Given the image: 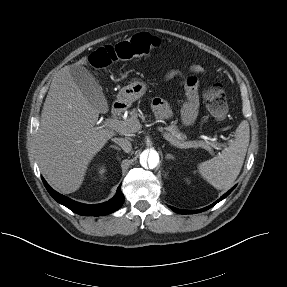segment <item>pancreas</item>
I'll return each mask as SVG.
<instances>
[{"label":"pancreas","mask_w":287,"mask_h":287,"mask_svg":"<svg viewBox=\"0 0 287 287\" xmlns=\"http://www.w3.org/2000/svg\"><path fill=\"white\" fill-rule=\"evenodd\" d=\"M139 117H142V114L138 112L136 109H132L129 112V116L127 119L123 120L121 123L123 125V129L121 132L123 133H135L138 132L141 128V124L139 122ZM168 131L167 140L170 141L173 145L175 143H184L187 140V136L180 132L178 127L176 126V121L172 122V124L166 126L164 128Z\"/></svg>","instance_id":"cf45deb5"}]
</instances>
